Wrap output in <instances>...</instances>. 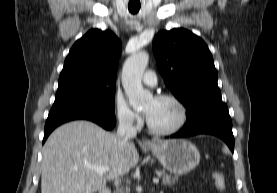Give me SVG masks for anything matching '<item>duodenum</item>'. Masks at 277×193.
Instances as JSON below:
<instances>
[{"label": "duodenum", "mask_w": 277, "mask_h": 193, "mask_svg": "<svg viewBox=\"0 0 277 193\" xmlns=\"http://www.w3.org/2000/svg\"><path fill=\"white\" fill-rule=\"evenodd\" d=\"M99 193H112V192H111V189H110V188L106 187V188L101 189V190L99 191Z\"/></svg>", "instance_id": "1"}]
</instances>
